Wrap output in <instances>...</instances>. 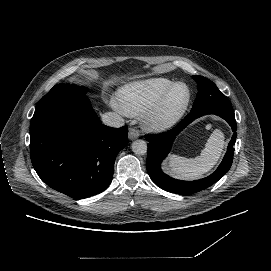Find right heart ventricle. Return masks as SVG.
<instances>
[{"label": "right heart ventricle", "mask_w": 271, "mask_h": 271, "mask_svg": "<svg viewBox=\"0 0 271 271\" xmlns=\"http://www.w3.org/2000/svg\"><path fill=\"white\" fill-rule=\"evenodd\" d=\"M175 81L167 77H153L126 85L118 92L121 110L137 116L150 110Z\"/></svg>", "instance_id": "right-heart-ventricle-1"}]
</instances>
